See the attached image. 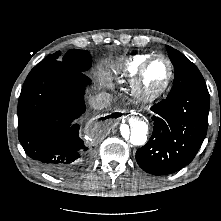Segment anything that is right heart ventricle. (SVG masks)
Listing matches in <instances>:
<instances>
[{"label":"right heart ventricle","instance_id":"right-heart-ventricle-1","mask_svg":"<svg viewBox=\"0 0 221 221\" xmlns=\"http://www.w3.org/2000/svg\"><path fill=\"white\" fill-rule=\"evenodd\" d=\"M153 56L151 53H140L127 58L120 65V74L127 79H133L137 74L141 65L149 58Z\"/></svg>","mask_w":221,"mask_h":221}]
</instances>
